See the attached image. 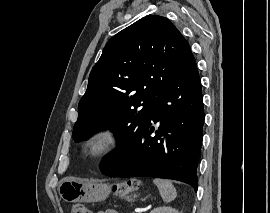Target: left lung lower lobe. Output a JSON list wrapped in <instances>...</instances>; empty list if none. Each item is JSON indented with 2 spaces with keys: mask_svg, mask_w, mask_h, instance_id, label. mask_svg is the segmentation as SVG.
I'll return each instance as SVG.
<instances>
[{
  "mask_svg": "<svg viewBox=\"0 0 270 213\" xmlns=\"http://www.w3.org/2000/svg\"><path fill=\"white\" fill-rule=\"evenodd\" d=\"M151 121L160 123L154 137ZM203 123V96L195 63L158 96L141 130L118 142V149L104 157L101 172L111 177L174 179L197 191Z\"/></svg>",
  "mask_w": 270,
  "mask_h": 213,
  "instance_id": "left-lung-lower-lobe-1",
  "label": "left lung lower lobe"
}]
</instances>
